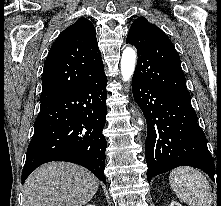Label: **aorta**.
I'll list each match as a JSON object with an SVG mask.
<instances>
[{
	"mask_svg": "<svg viewBox=\"0 0 221 206\" xmlns=\"http://www.w3.org/2000/svg\"><path fill=\"white\" fill-rule=\"evenodd\" d=\"M136 65V52L131 47H127L121 57V77L122 80L127 82L131 79ZM138 124L142 125L143 121L139 118Z\"/></svg>",
	"mask_w": 221,
	"mask_h": 206,
	"instance_id": "aorta-1",
	"label": "aorta"
}]
</instances>
